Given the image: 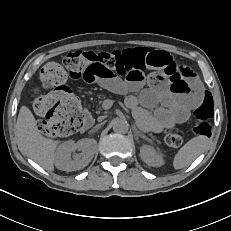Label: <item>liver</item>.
I'll list each match as a JSON object with an SVG mask.
<instances>
[{
    "label": "liver",
    "mask_w": 231,
    "mask_h": 231,
    "mask_svg": "<svg viewBox=\"0 0 231 231\" xmlns=\"http://www.w3.org/2000/svg\"><path fill=\"white\" fill-rule=\"evenodd\" d=\"M16 133L24 153L46 170L53 171L59 142L42 136L34 115L26 106L20 108Z\"/></svg>",
    "instance_id": "1"
}]
</instances>
